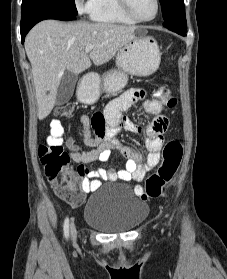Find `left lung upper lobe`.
I'll use <instances>...</instances> for the list:
<instances>
[{
	"instance_id": "5c2ea615",
	"label": "left lung upper lobe",
	"mask_w": 227,
	"mask_h": 279,
	"mask_svg": "<svg viewBox=\"0 0 227 279\" xmlns=\"http://www.w3.org/2000/svg\"><path fill=\"white\" fill-rule=\"evenodd\" d=\"M164 22H185L183 0H160Z\"/></svg>"
}]
</instances>
